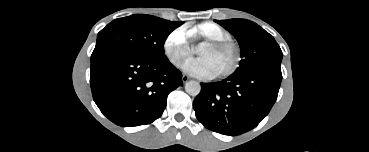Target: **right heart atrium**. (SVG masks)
<instances>
[{
	"label": "right heart atrium",
	"instance_id": "d8ad5b80",
	"mask_svg": "<svg viewBox=\"0 0 369 152\" xmlns=\"http://www.w3.org/2000/svg\"><path fill=\"white\" fill-rule=\"evenodd\" d=\"M163 50L168 61L176 68H180L194 52L184 28H176L168 34Z\"/></svg>",
	"mask_w": 369,
	"mask_h": 152
}]
</instances>
